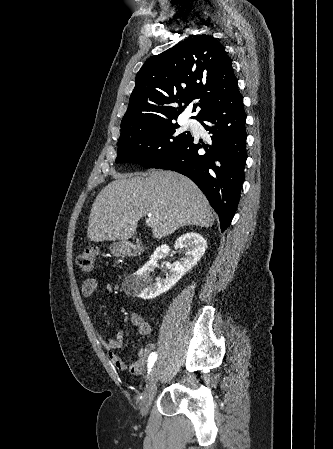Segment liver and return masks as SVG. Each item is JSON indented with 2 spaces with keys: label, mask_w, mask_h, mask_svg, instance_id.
<instances>
[{
  "label": "liver",
  "mask_w": 333,
  "mask_h": 449,
  "mask_svg": "<svg viewBox=\"0 0 333 449\" xmlns=\"http://www.w3.org/2000/svg\"><path fill=\"white\" fill-rule=\"evenodd\" d=\"M146 214L152 215L148 225L158 239L185 225L208 228L214 223L208 200L192 180L152 170L120 176L99 192L89 216L88 238L128 240Z\"/></svg>",
  "instance_id": "6515ba94"
}]
</instances>
